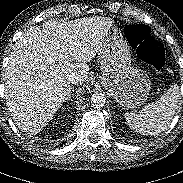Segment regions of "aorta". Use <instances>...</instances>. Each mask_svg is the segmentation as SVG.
I'll return each mask as SVG.
<instances>
[{
    "mask_svg": "<svg viewBox=\"0 0 183 183\" xmlns=\"http://www.w3.org/2000/svg\"><path fill=\"white\" fill-rule=\"evenodd\" d=\"M106 98L102 93H94L91 97V105L94 108H101L105 105Z\"/></svg>",
    "mask_w": 183,
    "mask_h": 183,
    "instance_id": "obj_1",
    "label": "aorta"
}]
</instances>
